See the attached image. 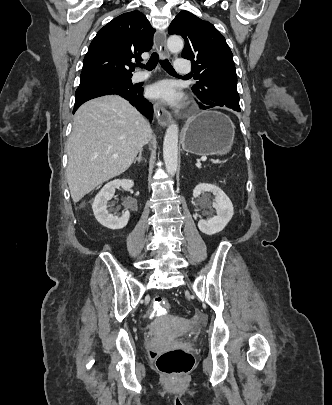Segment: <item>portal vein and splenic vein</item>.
<instances>
[{
    "instance_id": "portal-vein-and-splenic-vein-1",
    "label": "portal vein and splenic vein",
    "mask_w": 332,
    "mask_h": 405,
    "mask_svg": "<svg viewBox=\"0 0 332 405\" xmlns=\"http://www.w3.org/2000/svg\"><path fill=\"white\" fill-rule=\"evenodd\" d=\"M206 160H207L206 157L201 158V161H206ZM214 163H216V162H214ZM196 166L200 168L201 167V162H197Z\"/></svg>"
}]
</instances>
